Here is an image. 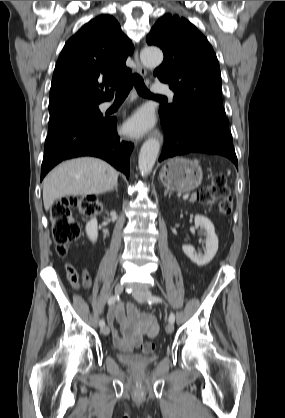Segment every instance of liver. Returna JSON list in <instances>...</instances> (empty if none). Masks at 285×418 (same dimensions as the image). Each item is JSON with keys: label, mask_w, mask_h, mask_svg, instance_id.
Masks as SVG:
<instances>
[{"label": "liver", "mask_w": 285, "mask_h": 418, "mask_svg": "<svg viewBox=\"0 0 285 418\" xmlns=\"http://www.w3.org/2000/svg\"><path fill=\"white\" fill-rule=\"evenodd\" d=\"M118 172L108 163L93 157L72 159L55 167L43 181L46 211L62 197L101 194L114 188Z\"/></svg>", "instance_id": "obj_1"}]
</instances>
